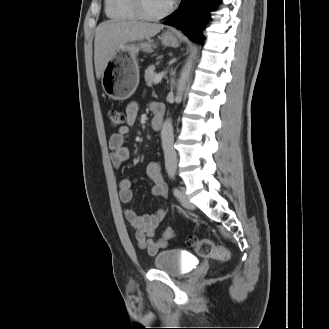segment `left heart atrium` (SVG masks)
Instances as JSON below:
<instances>
[{
    "mask_svg": "<svg viewBox=\"0 0 329 329\" xmlns=\"http://www.w3.org/2000/svg\"><path fill=\"white\" fill-rule=\"evenodd\" d=\"M170 1V3H173L174 2V0H169Z\"/></svg>",
    "mask_w": 329,
    "mask_h": 329,
    "instance_id": "left-heart-atrium-1",
    "label": "left heart atrium"
}]
</instances>
